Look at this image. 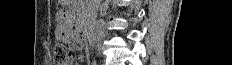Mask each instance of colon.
<instances>
[{
    "label": "colon",
    "instance_id": "obj_1",
    "mask_svg": "<svg viewBox=\"0 0 232 65\" xmlns=\"http://www.w3.org/2000/svg\"><path fill=\"white\" fill-rule=\"evenodd\" d=\"M70 56V50L65 45H56L54 49V60L58 65H62L68 60Z\"/></svg>",
    "mask_w": 232,
    "mask_h": 65
}]
</instances>
